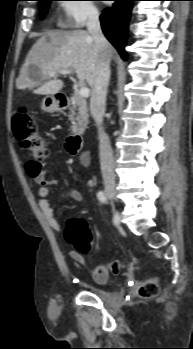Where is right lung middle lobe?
<instances>
[{"mask_svg":"<svg viewBox=\"0 0 193 349\" xmlns=\"http://www.w3.org/2000/svg\"><path fill=\"white\" fill-rule=\"evenodd\" d=\"M40 2V17L43 19L48 11L50 2L53 0H38Z\"/></svg>","mask_w":193,"mask_h":349,"instance_id":"1","label":"right lung middle lobe"}]
</instances>
